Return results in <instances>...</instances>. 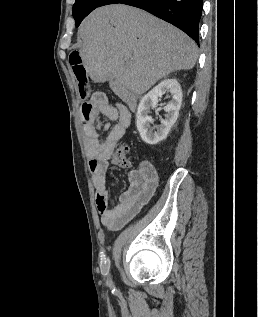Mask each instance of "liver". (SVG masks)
Segmentation results:
<instances>
[{"label": "liver", "mask_w": 258, "mask_h": 317, "mask_svg": "<svg viewBox=\"0 0 258 317\" xmlns=\"http://www.w3.org/2000/svg\"><path fill=\"white\" fill-rule=\"evenodd\" d=\"M80 56L94 82L109 80L120 98L143 94L173 70L193 68L196 42L185 32L128 4L99 6L82 20Z\"/></svg>", "instance_id": "6515ba94"}]
</instances>
